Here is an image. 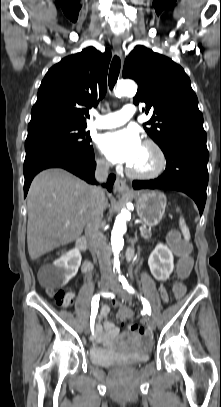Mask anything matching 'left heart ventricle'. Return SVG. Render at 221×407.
<instances>
[{"instance_id":"left-heart-ventricle-1","label":"left heart ventricle","mask_w":221,"mask_h":407,"mask_svg":"<svg viewBox=\"0 0 221 407\" xmlns=\"http://www.w3.org/2000/svg\"><path fill=\"white\" fill-rule=\"evenodd\" d=\"M158 165V157L154 150L149 146L143 145L136 159L130 164V167L137 172H150Z\"/></svg>"}]
</instances>
